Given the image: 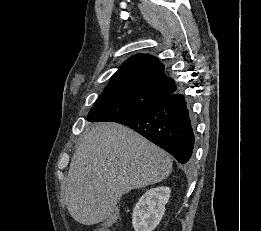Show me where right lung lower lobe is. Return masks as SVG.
<instances>
[{"label": "right lung lower lobe", "mask_w": 261, "mask_h": 231, "mask_svg": "<svg viewBox=\"0 0 261 231\" xmlns=\"http://www.w3.org/2000/svg\"><path fill=\"white\" fill-rule=\"evenodd\" d=\"M116 122L140 133L170 153L179 163H191L195 141L194 121L182 94L173 93Z\"/></svg>", "instance_id": "right-lung-lower-lobe-1"}]
</instances>
